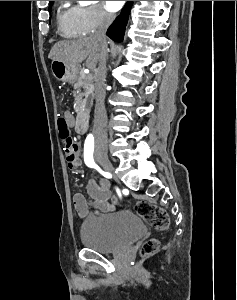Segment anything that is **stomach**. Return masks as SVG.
<instances>
[{"label":"stomach","mask_w":237,"mask_h":300,"mask_svg":"<svg viewBox=\"0 0 237 300\" xmlns=\"http://www.w3.org/2000/svg\"><path fill=\"white\" fill-rule=\"evenodd\" d=\"M51 71L55 79L64 81V83H75L78 77L77 65H67V63H63V61H57V59H53Z\"/></svg>","instance_id":"0dacf381"}]
</instances>
